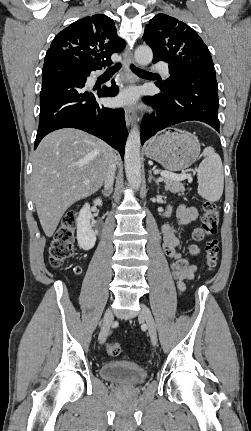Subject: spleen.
I'll list each match as a JSON object with an SVG mask.
<instances>
[{
  "mask_svg": "<svg viewBox=\"0 0 251 431\" xmlns=\"http://www.w3.org/2000/svg\"><path fill=\"white\" fill-rule=\"evenodd\" d=\"M203 155L205 158L197 169L198 193L215 202L220 199L224 189L222 161L212 147H206Z\"/></svg>",
  "mask_w": 251,
  "mask_h": 431,
  "instance_id": "obj_1",
  "label": "spleen"
}]
</instances>
